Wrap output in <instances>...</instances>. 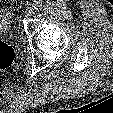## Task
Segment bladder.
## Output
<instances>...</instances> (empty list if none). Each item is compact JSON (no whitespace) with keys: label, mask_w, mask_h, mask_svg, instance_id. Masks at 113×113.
I'll return each mask as SVG.
<instances>
[{"label":"bladder","mask_w":113,"mask_h":113,"mask_svg":"<svg viewBox=\"0 0 113 113\" xmlns=\"http://www.w3.org/2000/svg\"><path fill=\"white\" fill-rule=\"evenodd\" d=\"M6 27H7L6 16L2 12H0V32L6 29Z\"/></svg>","instance_id":"31cf9c89"}]
</instances>
